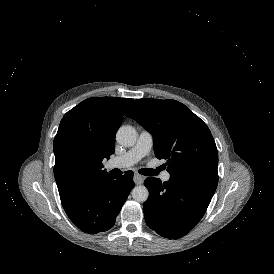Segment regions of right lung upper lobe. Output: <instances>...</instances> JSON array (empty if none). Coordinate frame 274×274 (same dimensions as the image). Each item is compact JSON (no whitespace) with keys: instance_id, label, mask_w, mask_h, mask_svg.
<instances>
[{"instance_id":"obj_1","label":"right lung upper lobe","mask_w":274,"mask_h":274,"mask_svg":"<svg viewBox=\"0 0 274 274\" xmlns=\"http://www.w3.org/2000/svg\"><path fill=\"white\" fill-rule=\"evenodd\" d=\"M133 99L89 98L68 111L54 138V176L61 202L109 175L102 160L115 151V136Z\"/></svg>"}]
</instances>
